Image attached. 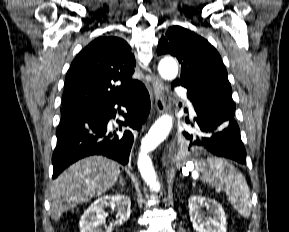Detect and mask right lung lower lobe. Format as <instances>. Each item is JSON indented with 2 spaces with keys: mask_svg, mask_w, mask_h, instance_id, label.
Returning a JSON list of instances; mask_svg holds the SVG:
<instances>
[{
  "mask_svg": "<svg viewBox=\"0 0 289 232\" xmlns=\"http://www.w3.org/2000/svg\"><path fill=\"white\" fill-rule=\"evenodd\" d=\"M115 105L126 107L125 122L133 130H140L150 111L149 94L140 85L130 96L111 104L94 106L79 113L62 116L57 128V146L52 156L53 178L75 161L89 155H104L125 165L134 136L132 131L117 134L107 124L117 113Z\"/></svg>",
  "mask_w": 289,
  "mask_h": 232,
  "instance_id": "98d812e1",
  "label": "right lung lower lobe"
}]
</instances>
